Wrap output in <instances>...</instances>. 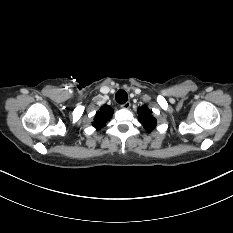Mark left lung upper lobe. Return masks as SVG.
<instances>
[{"label": "left lung upper lobe", "instance_id": "obj_1", "mask_svg": "<svg viewBox=\"0 0 233 233\" xmlns=\"http://www.w3.org/2000/svg\"><path fill=\"white\" fill-rule=\"evenodd\" d=\"M139 120L144 125L147 132H151L156 126V119L151 115V111L146 107L142 106L138 109Z\"/></svg>", "mask_w": 233, "mask_h": 233}]
</instances>
